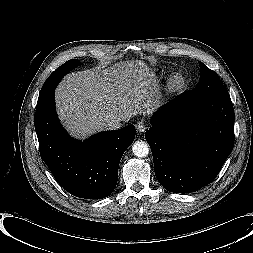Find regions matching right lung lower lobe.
Instances as JSON below:
<instances>
[{"mask_svg": "<svg viewBox=\"0 0 253 253\" xmlns=\"http://www.w3.org/2000/svg\"><path fill=\"white\" fill-rule=\"evenodd\" d=\"M34 125L41 158L67 192L85 199H101L113 192L120 159L135 138L134 125L100 132L81 143L61 126L54 90L37 102Z\"/></svg>", "mask_w": 253, "mask_h": 253, "instance_id": "obj_1", "label": "right lung lower lobe"}]
</instances>
